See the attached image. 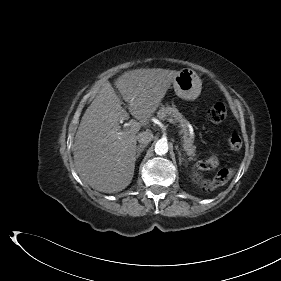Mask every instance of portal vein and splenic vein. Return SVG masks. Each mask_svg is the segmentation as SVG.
Masks as SVG:
<instances>
[{
  "instance_id": "portal-vein-and-splenic-vein-1",
  "label": "portal vein and splenic vein",
  "mask_w": 281,
  "mask_h": 281,
  "mask_svg": "<svg viewBox=\"0 0 281 281\" xmlns=\"http://www.w3.org/2000/svg\"><path fill=\"white\" fill-rule=\"evenodd\" d=\"M170 124H173L174 126H176V127H178L177 126V124H176V122L172 119V118H167L166 119ZM129 126H130V131H133V132H137V131H139L140 130V127H141V125H140V123L139 122H132L131 124H129ZM118 135H123V134H125L124 132H118L117 133Z\"/></svg>"
}]
</instances>
